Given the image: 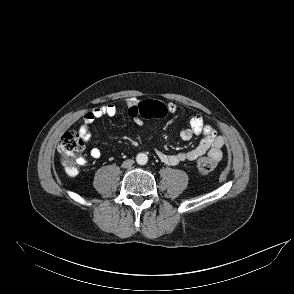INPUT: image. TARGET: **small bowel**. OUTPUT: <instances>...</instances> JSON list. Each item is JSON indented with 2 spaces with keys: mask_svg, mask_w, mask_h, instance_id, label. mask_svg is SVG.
I'll list each match as a JSON object with an SVG mask.
<instances>
[{
  "mask_svg": "<svg viewBox=\"0 0 294 294\" xmlns=\"http://www.w3.org/2000/svg\"><path fill=\"white\" fill-rule=\"evenodd\" d=\"M134 104H137V100L131 98L125 100L122 103V106L130 107ZM165 106L169 113H175L178 110V106L174 102H168ZM117 112L118 106L114 104L96 107L84 115L83 122L77 132L85 142H89L92 137L90 125L95 120L104 116L113 117L117 114ZM194 136H201V141L193 149L176 154H168L162 150L156 149V156L161 162L171 166L177 165L184 161H195L205 154L213 157L216 161L221 160L223 155L222 148L224 146V139L216 133L215 129L211 125L204 122L203 117L200 114L194 115L190 119L189 126L183 129L180 133V137L183 140H190ZM90 156L93 159H100L102 157V153L98 148H92L90 150ZM83 162L85 161L82 160V163Z\"/></svg>",
  "mask_w": 294,
  "mask_h": 294,
  "instance_id": "obj_1",
  "label": "small bowel"
}]
</instances>
